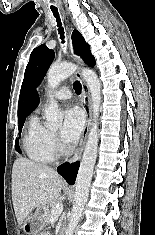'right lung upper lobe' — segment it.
<instances>
[{"label": "right lung upper lobe", "mask_w": 155, "mask_h": 235, "mask_svg": "<svg viewBox=\"0 0 155 235\" xmlns=\"http://www.w3.org/2000/svg\"><path fill=\"white\" fill-rule=\"evenodd\" d=\"M39 101V95L34 90L18 105V119L22 120L26 118L38 106Z\"/></svg>", "instance_id": "right-lung-upper-lobe-1"}]
</instances>
